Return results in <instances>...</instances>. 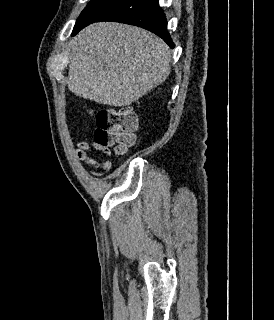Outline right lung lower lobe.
Returning <instances> with one entry per match:
<instances>
[{"mask_svg":"<svg viewBox=\"0 0 274 320\" xmlns=\"http://www.w3.org/2000/svg\"><path fill=\"white\" fill-rule=\"evenodd\" d=\"M99 21H114L142 27L161 37L171 48L174 47L167 32L165 14L160 9L158 0H123L93 22ZM84 27L73 30L72 35Z\"/></svg>","mask_w":274,"mask_h":320,"instance_id":"right-lung-lower-lobe-1","label":"right lung lower lobe"}]
</instances>
